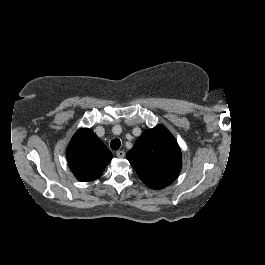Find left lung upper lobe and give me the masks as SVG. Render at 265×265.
I'll return each mask as SVG.
<instances>
[{
  "mask_svg": "<svg viewBox=\"0 0 265 265\" xmlns=\"http://www.w3.org/2000/svg\"><path fill=\"white\" fill-rule=\"evenodd\" d=\"M139 178L152 189L172 183L182 166V155L173 135L162 125L146 130L127 153Z\"/></svg>",
  "mask_w": 265,
  "mask_h": 265,
  "instance_id": "1",
  "label": "left lung upper lobe"
}]
</instances>
